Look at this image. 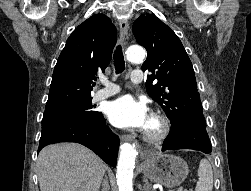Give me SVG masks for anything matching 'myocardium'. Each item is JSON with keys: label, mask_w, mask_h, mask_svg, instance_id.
Wrapping results in <instances>:
<instances>
[{"label": "myocardium", "mask_w": 251, "mask_h": 191, "mask_svg": "<svg viewBox=\"0 0 251 191\" xmlns=\"http://www.w3.org/2000/svg\"><path fill=\"white\" fill-rule=\"evenodd\" d=\"M149 123L151 126L146 127L143 134L145 141L149 143H158L164 140L169 134L170 123L165 116L153 114L149 119Z\"/></svg>", "instance_id": "f54148a6"}]
</instances>
